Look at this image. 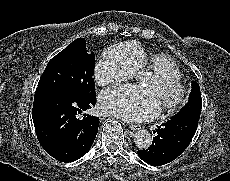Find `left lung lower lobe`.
Segmentation results:
<instances>
[{"instance_id":"0a47b994","label":"left lung lower lobe","mask_w":230,"mask_h":181,"mask_svg":"<svg viewBox=\"0 0 230 181\" xmlns=\"http://www.w3.org/2000/svg\"><path fill=\"white\" fill-rule=\"evenodd\" d=\"M199 118L186 115L171 119L158 126L153 133L152 145L138 151L140 158L153 166H160L175 160L188 147L194 136Z\"/></svg>"}]
</instances>
